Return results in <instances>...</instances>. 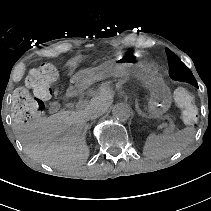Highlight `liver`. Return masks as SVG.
<instances>
[{"instance_id": "1", "label": "liver", "mask_w": 211, "mask_h": 211, "mask_svg": "<svg viewBox=\"0 0 211 211\" xmlns=\"http://www.w3.org/2000/svg\"><path fill=\"white\" fill-rule=\"evenodd\" d=\"M112 102L113 92L102 88L90 104L105 112ZM88 129L83 110L74 114L58 112L27 123L17 121L13 127L30 158L61 170H72L86 162L89 156L85 142Z\"/></svg>"}]
</instances>
